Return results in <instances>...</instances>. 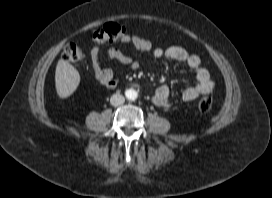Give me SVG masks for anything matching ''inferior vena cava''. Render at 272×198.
Instances as JSON below:
<instances>
[{
    "mask_svg": "<svg viewBox=\"0 0 272 198\" xmlns=\"http://www.w3.org/2000/svg\"><path fill=\"white\" fill-rule=\"evenodd\" d=\"M124 102H125V98L121 94H113L110 98V103L113 106L122 105Z\"/></svg>",
    "mask_w": 272,
    "mask_h": 198,
    "instance_id": "obj_1",
    "label": "inferior vena cava"
}]
</instances>
